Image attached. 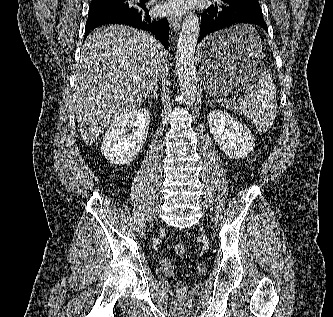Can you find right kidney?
Listing matches in <instances>:
<instances>
[{"mask_svg": "<svg viewBox=\"0 0 333 317\" xmlns=\"http://www.w3.org/2000/svg\"><path fill=\"white\" fill-rule=\"evenodd\" d=\"M150 124V112L138 108L119 116L103 136L101 152L112 164L132 162L145 144ZM126 126H133L132 134H126Z\"/></svg>", "mask_w": 333, "mask_h": 317, "instance_id": "1", "label": "right kidney"}]
</instances>
